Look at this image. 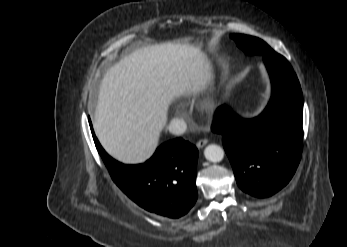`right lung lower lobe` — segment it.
Listing matches in <instances>:
<instances>
[{
	"label": "right lung lower lobe",
	"instance_id": "right-lung-lower-lobe-1",
	"mask_svg": "<svg viewBox=\"0 0 347 247\" xmlns=\"http://www.w3.org/2000/svg\"><path fill=\"white\" fill-rule=\"evenodd\" d=\"M93 139L112 180L144 209L169 218L185 215L197 200V148L181 138L157 148L139 165H124L111 158L97 140L89 119Z\"/></svg>",
	"mask_w": 347,
	"mask_h": 247
}]
</instances>
